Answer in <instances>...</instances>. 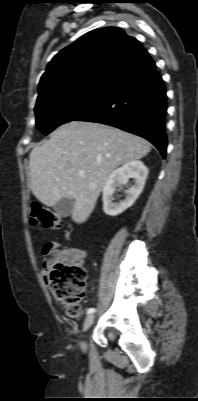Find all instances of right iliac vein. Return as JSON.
<instances>
[{
    "instance_id": "obj_1",
    "label": "right iliac vein",
    "mask_w": 198,
    "mask_h": 401,
    "mask_svg": "<svg viewBox=\"0 0 198 401\" xmlns=\"http://www.w3.org/2000/svg\"><path fill=\"white\" fill-rule=\"evenodd\" d=\"M94 318H95L94 315L87 316V318L85 319L84 324H83V331H87L91 327V325L94 322ZM81 347L83 350L86 349V344L84 341L81 343Z\"/></svg>"
}]
</instances>
